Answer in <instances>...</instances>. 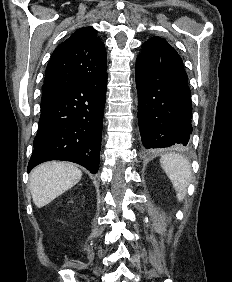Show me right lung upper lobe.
<instances>
[{
    "label": "right lung upper lobe",
    "instance_id": "right-lung-upper-lobe-1",
    "mask_svg": "<svg viewBox=\"0 0 232 282\" xmlns=\"http://www.w3.org/2000/svg\"><path fill=\"white\" fill-rule=\"evenodd\" d=\"M104 43L93 27L77 29L53 52L46 68L42 100L52 102L70 87L106 73Z\"/></svg>",
    "mask_w": 232,
    "mask_h": 282
}]
</instances>
